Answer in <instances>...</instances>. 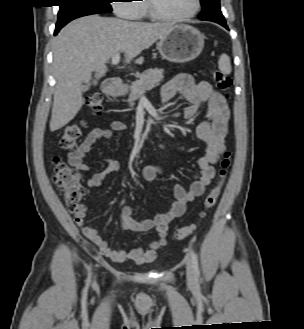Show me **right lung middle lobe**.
<instances>
[{"mask_svg": "<svg viewBox=\"0 0 304 329\" xmlns=\"http://www.w3.org/2000/svg\"><path fill=\"white\" fill-rule=\"evenodd\" d=\"M60 9L56 26L66 25L73 19L98 13H110V0H59Z\"/></svg>", "mask_w": 304, "mask_h": 329, "instance_id": "1", "label": "right lung middle lobe"}]
</instances>
